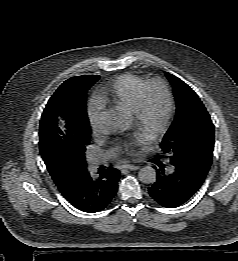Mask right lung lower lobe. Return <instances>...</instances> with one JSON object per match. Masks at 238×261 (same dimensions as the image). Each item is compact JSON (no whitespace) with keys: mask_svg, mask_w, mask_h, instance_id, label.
<instances>
[{"mask_svg":"<svg viewBox=\"0 0 238 261\" xmlns=\"http://www.w3.org/2000/svg\"><path fill=\"white\" fill-rule=\"evenodd\" d=\"M120 172L108 168L93 177L85 172L63 196L77 209L84 212L103 210L114 198L118 189Z\"/></svg>","mask_w":238,"mask_h":261,"instance_id":"1","label":"right lung lower lobe"}]
</instances>
